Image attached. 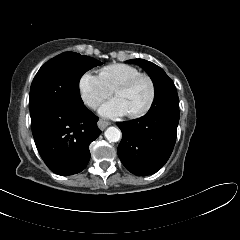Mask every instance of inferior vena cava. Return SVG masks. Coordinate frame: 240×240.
<instances>
[{
	"instance_id": "602c4592",
	"label": "inferior vena cava",
	"mask_w": 240,
	"mask_h": 240,
	"mask_svg": "<svg viewBox=\"0 0 240 240\" xmlns=\"http://www.w3.org/2000/svg\"><path fill=\"white\" fill-rule=\"evenodd\" d=\"M99 104H100L99 101H97V100H92V101L89 103V106H91V107H93V108H96V107L99 106Z\"/></svg>"
}]
</instances>
